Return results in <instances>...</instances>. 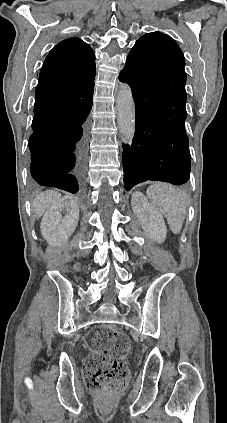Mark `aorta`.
<instances>
[{"label":"aorta","instance_id":"obj_1","mask_svg":"<svg viewBox=\"0 0 227 423\" xmlns=\"http://www.w3.org/2000/svg\"><path fill=\"white\" fill-rule=\"evenodd\" d=\"M116 108L120 136L124 142L130 144L135 134V107L131 88L126 83L119 86Z\"/></svg>","mask_w":227,"mask_h":423}]
</instances>
